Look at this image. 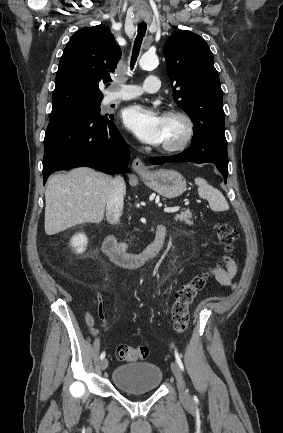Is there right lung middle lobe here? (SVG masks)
I'll return each mask as SVG.
<instances>
[{"instance_id": "obj_1", "label": "right lung middle lobe", "mask_w": 283, "mask_h": 433, "mask_svg": "<svg viewBox=\"0 0 283 433\" xmlns=\"http://www.w3.org/2000/svg\"><path fill=\"white\" fill-rule=\"evenodd\" d=\"M100 104H101V101L89 103V104H84V105L72 108L70 110H67V111H63V112H59V113H55V114H50V118L73 115V114H77V113H86V112H99L100 113Z\"/></svg>"}]
</instances>
